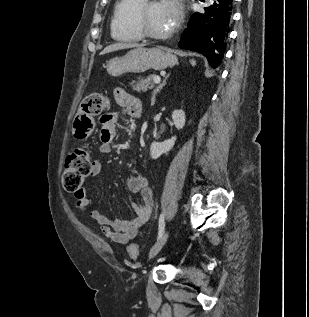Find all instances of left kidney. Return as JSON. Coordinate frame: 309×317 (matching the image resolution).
<instances>
[{"label": "left kidney", "mask_w": 309, "mask_h": 317, "mask_svg": "<svg viewBox=\"0 0 309 317\" xmlns=\"http://www.w3.org/2000/svg\"><path fill=\"white\" fill-rule=\"evenodd\" d=\"M172 120L175 127L180 130L185 125V112L183 110H174L172 112ZM176 136L171 137L163 142H153L150 146V156L152 159L159 158L162 154L168 153L174 146Z\"/></svg>", "instance_id": "obj_1"}]
</instances>
